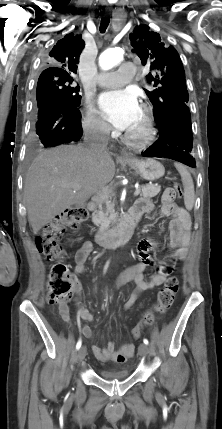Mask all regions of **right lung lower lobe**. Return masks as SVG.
<instances>
[{"instance_id": "right-lung-lower-lobe-1", "label": "right lung lower lobe", "mask_w": 222, "mask_h": 429, "mask_svg": "<svg viewBox=\"0 0 222 429\" xmlns=\"http://www.w3.org/2000/svg\"><path fill=\"white\" fill-rule=\"evenodd\" d=\"M79 106L53 95L38 107L36 134L44 147L76 141L82 136Z\"/></svg>"}]
</instances>
